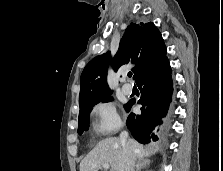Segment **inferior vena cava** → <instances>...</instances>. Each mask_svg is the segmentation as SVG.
Wrapping results in <instances>:
<instances>
[{"instance_id":"1","label":"inferior vena cava","mask_w":223,"mask_h":171,"mask_svg":"<svg viewBox=\"0 0 223 171\" xmlns=\"http://www.w3.org/2000/svg\"><path fill=\"white\" fill-rule=\"evenodd\" d=\"M120 142L125 149V164L124 171H134L135 167V155L134 150L128 139V132L122 131L120 134Z\"/></svg>"}]
</instances>
